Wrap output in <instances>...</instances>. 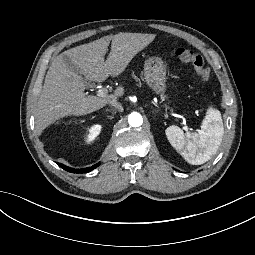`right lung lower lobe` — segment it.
Instances as JSON below:
<instances>
[{
  "instance_id": "obj_1",
  "label": "right lung lower lobe",
  "mask_w": 255,
  "mask_h": 255,
  "mask_svg": "<svg viewBox=\"0 0 255 255\" xmlns=\"http://www.w3.org/2000/svg\"><path fill=\"white\" fill-rule=\"evenodd\" d=\"M61 168H63L64 170L71 172V173H87L90 172L91 170L95 169L96 167H98L100 165V163H97L91 167L88 168H83V169H75V168H71L68 166H65L63 164L57 163Z\"/></svg>"
}]
</instances>
